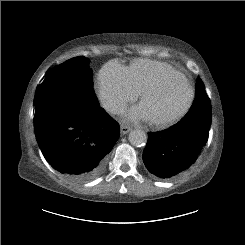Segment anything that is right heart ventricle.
Returning a JSON list of instances; mask_svg holds the SVG:
<instances>
[{
  "label": "right heart ventricle",
  "mask_w": 245,
  "mask_h": 245,
  "mask_svg": "<svg viewBox=\"0 0 245 245\" xmlns=\"http://www.w3.org/2000/svg\"><path fill=\"white\" fill-rule=\"evenodd\" d=\"M172 70L176 69L167 63L149 59L135 60L127 67L130 82L138 94Z\"/></svg>",
  "instance_id": "right-heart-ventricle-1"
}]
</instances>
